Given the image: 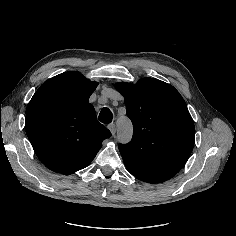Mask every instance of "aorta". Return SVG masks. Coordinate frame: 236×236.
I'll return each instance as SVG.
<instances>
[{
    "instance_id": "aorta-1",
    "label": "aorta",
    "mask_w": 236,
    "mask_h": 236,
    "mask_svg": "<svg viewBox=\"0 0 236 236\" xmlns=\"http://www.w3.org/2000/svg\"><path fill=\"white\" fill-rule=\"evenodd\" d=\"M118 126V139L121 142H128L132 134V125L127 118H121L117 122Z\"/></svg>"
}]
</instances>
